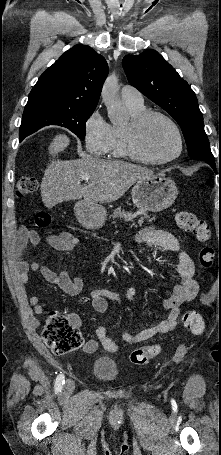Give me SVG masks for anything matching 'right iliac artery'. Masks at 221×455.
<instances>
[{
	"instance_id": "82829eb1",
	"label": "right iliac artery",
	"mask_w": 221,
	"mask_h": 455,
	"mask_svg": "<svg viewBox=\"0 0 221 455\" xmlns=\"http://www.w3.org/2000/svg\"><path fill=\"white\" fill-rule=\"evenodd\" d=\"M64 375L63 374H59L56 378V381H55V391L56 392H60L61 389H62V386L63 384L65 383V380H64Z\"/></svg>"
}]
</instances>
